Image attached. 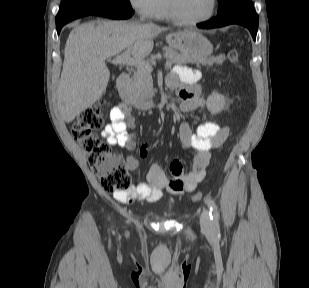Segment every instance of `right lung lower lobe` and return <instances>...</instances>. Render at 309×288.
Wrapping results in <instances>:
<instances>
[{"label": "right lung lower lobe", "instance_id": "98d812e1", "mask_svg": "<svg viewBox=\"0 0 309 288\" xmlns=\"http://www.w3.org/2000/svg\"><path fill=\"white\" fill-rule=\"evenodd\" d=\"M88 15H96V16H104L112 19H127L130 18L133 15L132 8L123 7V6H112V5H93L85 7L67 18H65L60 23L56 24L57 33L59 34L61 31V28L68 22Z\"/></svg>", "mask_w": 309, "mask_h": 288}]
</instances>
